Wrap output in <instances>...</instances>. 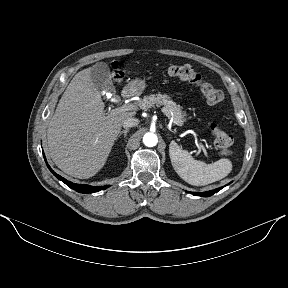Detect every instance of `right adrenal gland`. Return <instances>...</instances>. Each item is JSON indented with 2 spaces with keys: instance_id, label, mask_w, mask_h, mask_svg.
<instances>
[{
  "instance_id": "1",
  "label": "right adrenal gland",
  "mask_w": 288,
  "mask_h": 288,
  "mask_svg": "<svg viewBox=\"0 0 288 288\" xmlns=\"http://www.w3.org/2000/svg\"><path fill=\"white\" fill-rule=\"evenodd\" d=\"M129 132V129H125L123 131H121L118 136L116 137V141L119 139V137L124 134V138H126L127 133Z\"/></svg>"
}]
</instances>
